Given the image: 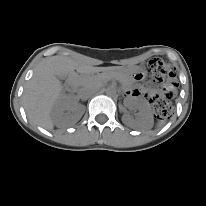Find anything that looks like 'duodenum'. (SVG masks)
<instances>
[{
  "label": "duodenum",
  "mask_w": 206,
  "mask_h": 206,
  "mask_svg": "<svg viewBox=\"0 0 206 206\" xmlns=\"http://www.w3.org/2000/svg\"><path fill=\"white\" fill-rule=\"evenodd\" d=\"M68 88H70V89L75 88V83H74V82H70V83L68 84Z\"/></svg>",
  "instance_id": "duodenum-1"
}]
</instances>
